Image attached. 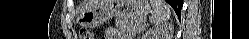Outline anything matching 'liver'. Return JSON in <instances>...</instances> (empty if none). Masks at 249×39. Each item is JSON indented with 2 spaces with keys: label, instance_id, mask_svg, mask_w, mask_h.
Segmentation results:
<instances>
[{
  "label": "liver",
  "instance_id": "1",
  "mask_svg": "<svg viewBox=\"0 0 249 39\" xmlns=\"http://www.w3.org/2000/svg\"><path fill=\"white\" fill-rule=\"evenodd\" d=\"M114 0H88L87 2H85L84 4V9H88L90 8L91 6L99 3V2H102V3H112Z\"/></svg>",
  "mask_w": 249,
  "mask_h": 39
}]
</instances>
